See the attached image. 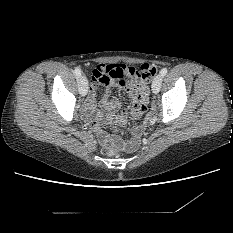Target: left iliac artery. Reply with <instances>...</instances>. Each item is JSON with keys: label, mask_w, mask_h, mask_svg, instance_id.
I'll return each instance as SVG.
<instances>
[{"label": "left iliac artery", "mask_w": 233, "mask_h": 233, "mask_svg": "<svg viewBox=\"0 0 233 233\" xmlns=\"http://www.w3.org/2000/svg\"><path fill=\"white\" fill-rule=\"evenodd\" d=\"M167 72H168L167 68H163L160 73L162 76H165Z\"/></svg>", "instance_id": "left-iliac-artery-1"}]
</instances>
